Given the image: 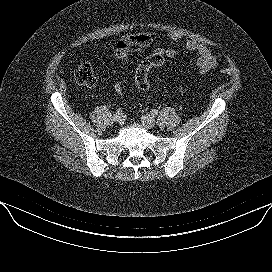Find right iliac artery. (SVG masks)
Segmentation results:
<instances>
[{"label":"right iliac artery","instance_id":"obj_1","mask_svg":"<svg viewBox=\"0 0 272 272\" xmlns=\"http://www.w3.org/2000/svg\"><path fill=\"white\" fill-rule=\"evenodd\" d=\"M116 114H117V115H121V114H122V109H120V108L117 109V110H116Z\"/></svg>","mask_w":272,"mask_h":272}]
</instances>
